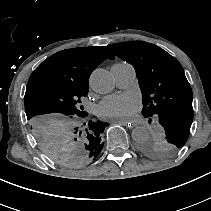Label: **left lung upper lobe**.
I'll return each instance as SVG.
<instances>
[{"mask_svg":"<svg viewBox=\"0 0 211 211\" xmlns=\"http://www.w3.org/2000/svg\"><path fill=\"white\" fill-rule=\"evenodd\" d=\"M110 51L133 65L143 97L142 115L158 133L141 144L151 157H167L186 143L193 121V94L183 67L160 47L142 41L108 45Z\"/></svg>","mask_w":211,"mask_h":211,"instance_id":"5c2ea615","label":"left lung upper lobe"}]
</instances>
